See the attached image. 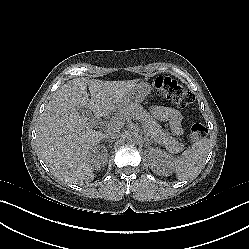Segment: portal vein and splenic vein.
Returning a JSON list of instances; mask_svg holds the SVG:
<instances>
[{"label":"portal vein and splenic vein","mask_w":249,"mask_h":249,"mask_svg":"<svg viewBox=\"0 0 249 249\" xmlns=\"http://www.w3.org/2000/svg\"><path fill=\"white\" fill-rule=\"evenodd\" d=\"M115 123H117L118 125H122L123 124L121 120L115 121Z\"/></svg>","instance_id":"1"}]
</instances>
